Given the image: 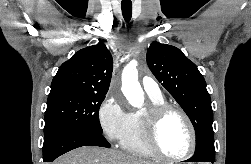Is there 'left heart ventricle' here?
I'll return each mask as SVG.
<instances>
[{
	"instance_id": "left-heart-ventricle-1",
	"label": "left heart ventricle",
	"mask_w": 251,
	"mask_h": 164,
	"mask_svg": "<svg viewBox=\"0 0 251 164\" xmlns=\"http://www.w3.org/2000/svg\"><path fill=\"white\" fill-rule=\"evenodd\" d=\"M162 150L169 156L180 157L190 148V132L184 119L175 112L169 113L162 121L158 135Z\"/></svg>"
}]
</instances>
